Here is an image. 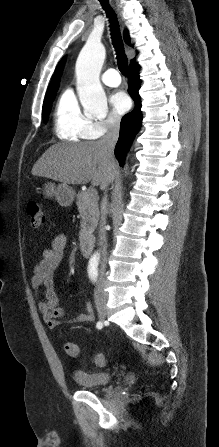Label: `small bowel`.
Instances as JSON below:
<instances>
[{
  "label": "small bowel",
  "instance_id": "obj_1",
  "mask_svg": "<svg viewBox=\"0 0 219 447\" xmlns=\"http://www.w3.org/2000/svg\"><path fill=\"white\" fill-rule=\"evenodd\" d=\"M66 248V237L63 235L56 236L31 269L30 285L37 296L44 297V300L38 302V308L45 324L51 329L57 328L62 323V319L67 316L66 310L58 306V298L53 282V273L61 265ZM94 319L93 309L90 304H87L85 311L72 318L69 322L89 323L94 321Z\"/></svg>",
  "mask_w": 219,
  "mask_h": 447
}]
</instances>
